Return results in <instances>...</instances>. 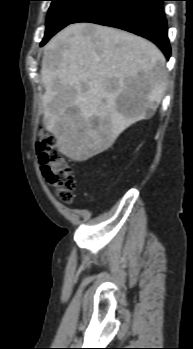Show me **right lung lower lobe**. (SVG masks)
Segmentation results:
<instances>
[{"label": "right lung lower lobe", "mask_w": 193, "mask_h": 349, "mask_svg": "<svg viewBox=\"0 0 193 349\" xmlns=\"http://www.w3.org/2000/svg\"><path fill=\"white\" fill-rule=\"evenodd\" d=\"M165 0H98L72 23L91 22L120 28L154 42L170 57Z\"/></svg>", "instance_id": "obj_1"}]
</instances>
